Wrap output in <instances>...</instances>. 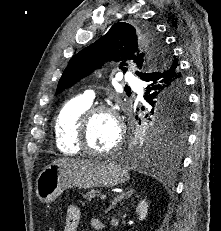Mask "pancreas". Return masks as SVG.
Masks as SVG:
<instances>
[{"instance_id":"obj_1","label":"pancreas","mask_w":221,"mask_h":231,"mask_svg":"<svg viewBox=\"0 0 221 231\" xmlns=\"http://www.w3.org/2000/svg\"><path fill=\"white\" fill-rule=\"evenodd\" d=\"M83 198H87V199L91 200L92 198H95V192L89 191L86 194H83Z\"/></svg>"}]
</instances>
